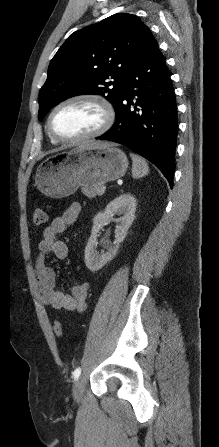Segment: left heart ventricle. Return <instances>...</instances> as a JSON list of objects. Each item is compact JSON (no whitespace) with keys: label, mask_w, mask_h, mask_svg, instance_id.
<instances>
[{"label":"left heart ventricle","mask_w":219,"mask_h":447,"mask_svg":"<svg viewBox=\"0 0 219 447\" xmlns=\"http://www.w3.org/2000/svg\"><path fill=\"white\" fill-rule=\"evenodd\" d=\"M102 121L100 110L89 103H74L56 112L52 127L56 134L75 138L95 130Z\"/></svg>","instance_id":"1"}]
</instances>
